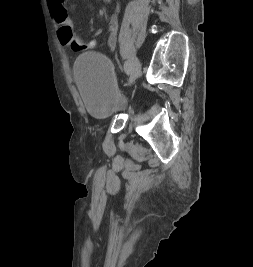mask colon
I'll return each mask as SVG.
<instances>
[{
    "mask_svg": "<svg viewBox=\"0 0 253 267\" xmlns=\"http://www.w3.org/2000/svg\"><path fill=\"white\" fill-rule=\"evenodd\" d=\"M57 37L61 45L69 47L71 50L81 52L95 47V42H85L77 37L71 26L62 25L57 31Z\"/></svg>",
    "mask_w": 253,
    "mask_h": 267,
    "instance_id": "colon-1",
    "label": "colon"
}]
</instances>
